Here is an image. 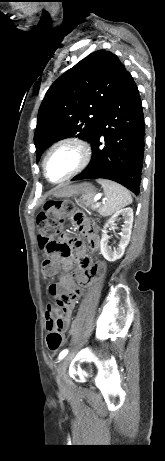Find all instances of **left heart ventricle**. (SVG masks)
<instances>
[{
	"mask_svg": "<svg viewBox=\"0 0 165 461\" xmlns=\"http://www.w3.org/2000/svg\"><path fill=\"white\" fill-rule=\"evenodd\" d=\"M77 154L71 148L55 150L47 160L48 177L55 181L65 176L76 164Z\"/></svg>",
	"mask_w": 165,
	"mask_h": 461,
	"instance_id": "b2bd125f",
	"label": "left heart ventricle"
}]
</instances>
